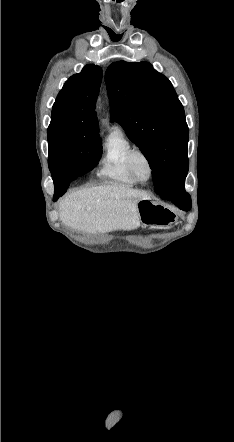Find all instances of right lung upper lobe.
I'll return each instance as SVG.
<instances>
[{
	"instance_id": "cb5924a9",
	"label": "right lung upper lobe",
	"mask_w": 234,
	"mask_h": 442,
	"mask_svg": "<svg viewBox=\"0 0 234 442\" xmlns=\"http://www.w3.org/2000/svg\"><path fill=\"white\" fill-rule=\"evenodd\" d=\"M102 80V69L86 65L71 76L59 92L52 108L51 121H69L82 132L98 134L95 102Z\"/></svg>"
}]
</instances>
